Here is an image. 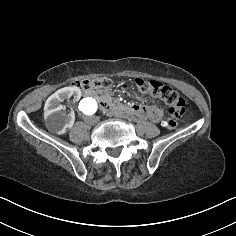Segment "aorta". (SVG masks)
Wrapping results in <instances>:
<instances>
[{"mask_svg": "<svg viewBox=\"0 0 236 236\" xmlns=\"http://www.w3.org/2000/svg\"><path fill=\"white\" fill-rule=\"evenodd\" d=\"M79 110L83 117L93 116L98 110L97 100L92 97L84 98L79 105Z\"/></svg>", "mask_w": 236, "mask_h": 236, "instance_id": "obj_1", "label": "aorta"}]
</instances>
